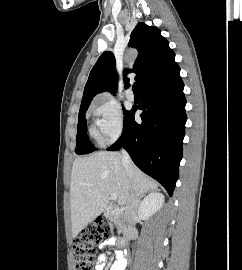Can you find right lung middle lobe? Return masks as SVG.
I'll list each match as a JSON object with an SVG mask.
<instances>
[{
    "mask_svg": "<svg viewBox=\"0 0 242 270\" xmlns=\"http://www.w3.org/2000/svg\"><path fill=\"white\" fill-rule=\"evenodd\" d=\"M87 108L81 109L79 111V123L77 126V145L75 152L77 154H87L90 152H93L95 150L94 146L91 144V142L88 140L86 131H87V126H86V119H85V112ZM124 111V120L127 118L129 115L130 111Z\"/></svg>",
    "mask_w": 242,
    "mask_h": 270,
    "instance_id": "1",
    "label": "right lung middle lobe"
}]
</instances>
